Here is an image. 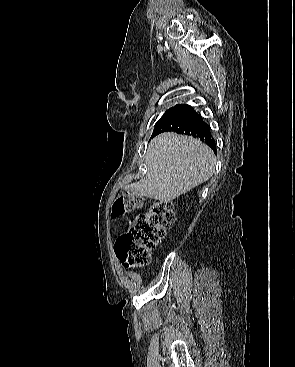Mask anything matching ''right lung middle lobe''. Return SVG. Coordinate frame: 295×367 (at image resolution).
<instances>
[{"instance_id": "right-lung-middle-lobe-1", "label": "right lung middle lobe", "mask_w": 295, "mask_h": 367, "mask_svg": "<svg viewBox=\"0 0 295 367\" xmlns=\"http://www.w3.org/2000/svg\"><path fill=\"white\" fill-rule=\"evenodd\" d=\"M181 105H176L170 109H168L164 115L159 119V121L156 123L155 125V129H154V132L153 134L155 133V131L158 129V127L168 118L170 117ZM152 134V135H153Z\"/></svg>"}]
</instances>
